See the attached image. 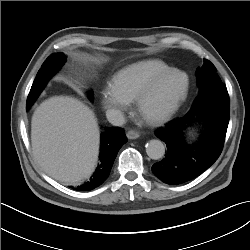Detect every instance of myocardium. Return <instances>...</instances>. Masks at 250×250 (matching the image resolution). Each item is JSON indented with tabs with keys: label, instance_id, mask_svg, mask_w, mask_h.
<instances>
[{
	"label": "myocardium",
	"instance_id": "f54148a6",
	"mask_svg": "<svg viewBox=\"0 0 250 250\" xmlns=\"http://www.w3.org/2000/svg\"><path fill=\"white\" fill-rule=\"evenodd\" d=\"M179 74L183 75L185 78V84L181 91V93L174 99V101L161 113L154 115V116H144L143 109L144 105L147 102V100L154 94L159 84L165 80L166 78ZM190 89V77L189 75L180 69L172 68L168 71H165L158 76L154 77L143 89L142 91L137 95L135 101H136V108L137 111L144 116L146 122L150 125H159L167 120H169L175 112L178 110L180 105L183 103V101L186 99L188 92Z\"/></svg>",
	"mask_w": 250,
	"mask_h": 250
}]
</instances>
